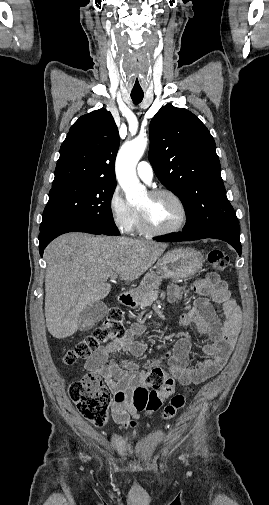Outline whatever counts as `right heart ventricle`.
I'll return each mask as SVG.
<instances>
[{
	"label": "right heart ventricle",
	"mask_w": 269,
	"mask_h": 505,
	"mask_svg": "<svg viewBox=\"0 0 269 505\" xmlns=\"http://www.w3.org/2000/svg\"><path fill=\"white\" fill-rule=\"evenodd\" d=\"M133 231H136L138 233H145V230L143 229V227L141 225L140 216H139L138 211H137V218H136V221H135V224L133 227Z\"/></svg>",
	"instance_id": "1"
}]
</instances>
